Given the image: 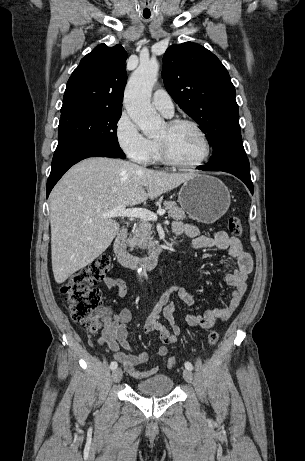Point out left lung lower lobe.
I'll use <instances>...</instances> for the list:
<instances>
[{"mask_svg":"<svg viewBox=\"0 0 305 461\" xmlns=\"http://www.w3.org/2000/svg\"><path fill=\"white\" fill-rule=\"evenodd\" d=\"M197 169L231 173L242 180L253 194L250 165L243 147L242 139L234 140L232 150L226 160L217 165L198 166Z\"/></svg>","mask_w":305,"mask_h":461,"instance_id":"1","label":"left lung lower lobe"}]
</instances>
